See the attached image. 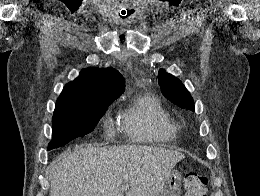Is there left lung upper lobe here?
Segmentation results:
<instances>
[{
    "label": "left lung upper lobe",
    "mask_w": 260,
    "mask_h": 196,
    "mask_svg": "<svg viewBox=\"0 0 260 196\" xmlns=\"http://www.w3.org/2000/svg\"><path fill=\"white\" fill-rule=\"evenodd\" d=\"M158 82L163 95L167 99L182 108L195 110L190 93L179 79L161 69L158 74Z\"/></svg>",
    "instance_id": "5c2ea615"
}]
</instances>
